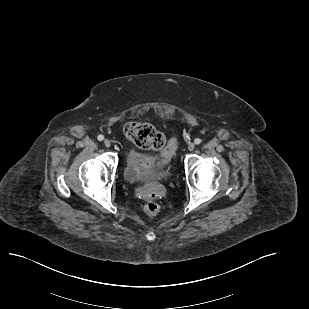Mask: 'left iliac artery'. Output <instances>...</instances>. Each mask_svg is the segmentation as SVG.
I'll return each instance as SVG.
<instances>
[{"mask_svg":"<svg viewBox=\"0 0 309 309\" xmlns=\"http://www.w3.org/2000/svg\"><path fill=\"white\" fill-rule=\"evenodd\" d=\"M194 143H195L196 145H199V144L201 143V139H200V138H196V139L194 140Z\"/></svg>","mask_w":309,"mask_h":309,"instance_id":"44dca946","label":"left iliac artery"}]
</instances>
